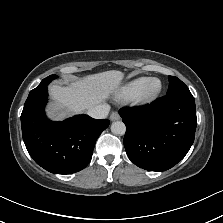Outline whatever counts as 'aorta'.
Listing matches in <instances>:
<instances>
[{
  "label": "aorta",
  "mask_w": 223,
  "mask_h": 223,
  "mask_svg": "<svg viewBox=\"0 0 223 223\" xmlns=\"http://www.w3.org/2000/svg\"><path fill=\"white\" fill-rule=\"evenodd\" d=\"M126 131L125 124L122 121H115L111 125V132L113 134L124 135Z\"/></svg>",
  "instance_id": "aorta-1"
}]
</instances>
